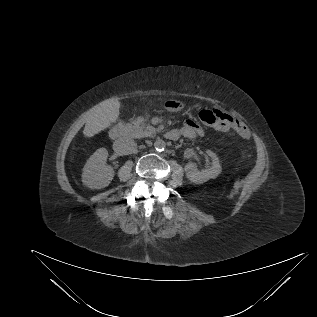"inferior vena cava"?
<instances>
[{
    "instance_id": "1",
    "label": "inferior vena cava",
    "mask_w": 317,
    "mask_h": 317,
    "mask_svg": "<svg viewBox=\"0 0 317 317\" xmlns=\"http://www.w3.org/2000/svg\"><path fill=\"white\" fill-rule=\"evenodd\" d=\"M114 149L121 155H129L137 151V144L132 138H120L114 142Z\"/></svg>"
}]
</instances>
